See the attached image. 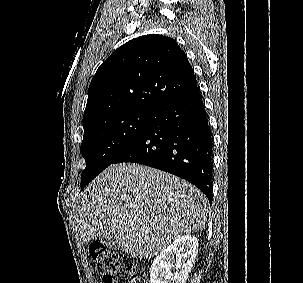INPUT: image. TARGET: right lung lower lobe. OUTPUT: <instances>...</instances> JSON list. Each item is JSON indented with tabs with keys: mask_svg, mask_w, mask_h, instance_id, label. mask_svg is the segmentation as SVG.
<instances>
[{
	"mask_svg": "<svg viewBox=\"0 0 303 283\" xmlns=\"http://www.w3.org/2000/svg\"><path fill=\"white\" fill-rule=\"evenodd\" d=\"M212 136L199 88L166 104L113 162H135L179 176L212 201Z\"/></svg>",
	"mask_w": 303,
	"mask_h": 283,
	"instance_id": "98d812e1",
	"label": "right lung lower lobe"
}]
</instances>
